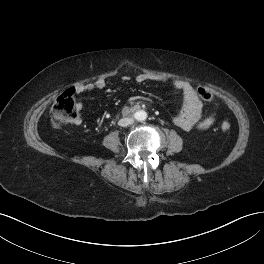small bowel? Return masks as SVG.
Here are the masks:
<instances>
[{
	"instance_id": "c3829d8e",
	"label": "small bowel",
	"mask_w": 264,
	"mask_h": 264,
	"mask_svg": "<svg viewBox=\"0 0 264 264\" xmlns=\"http://www.w3.org/2000/svg\"><path fill=\"white\" fill-rule=\"evenodd\" d=\"M124 81H128L129 77H123ZM161 77L150 76L148 74H139L136 76L137 83H144L146 81H163ZM106 86L104 79H98L93 83L78 85L75 87V92L78 94L92 91L94 89H103ZM174 89L181 92L183 95V103L179 113L175 116L174 124L184 131L191 130L196 122L200 119L202 113V102L194 87L186 81L177 80L173 84ZM144 99L142 97H134L132 100ZM76 124L81 123V118L75 120Z\"/></svg>"
}]
</instances>
